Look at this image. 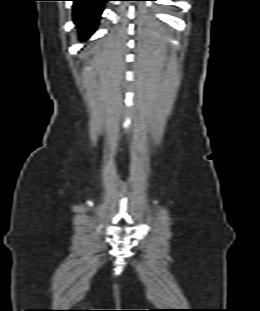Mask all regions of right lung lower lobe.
Instances as JSON below:
<instances>
[{"label": "right lung lower lobe", "mask_w": 260, "mask_h": 311, "mask_svg": "<svg viewBox=\"0 0 260 311\" xmlns=\"http://www.w3.org/2000/svg\"><path fill=\"white\" fill-rule=\"evenodd\" d=\"M73 19L80 29V35L83 39L89 37L95 30L100 19L104 2L107 0H72Z\"/></svg>", "instance_id": "1"}]
</instances>
